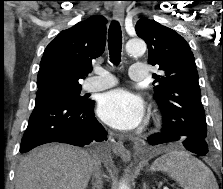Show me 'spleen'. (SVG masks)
I'll return each mask as SVG.
<instances>
[{"mask_svg": "<svg viewBox=\"0 0 223 189\" xmlns=\"http://www.w3.org/2000/svg\"><path fill=\"white\" fill-rule=\"evenodd\" d=\"M151 170L167 173L183 189H219L212 171L185 151L167 152L154 161Z\"/></svg>", "mask_w": 223, "mask_h": 189, "instance_id": "3e777b00", "label": "spleen"}]
</instances>
